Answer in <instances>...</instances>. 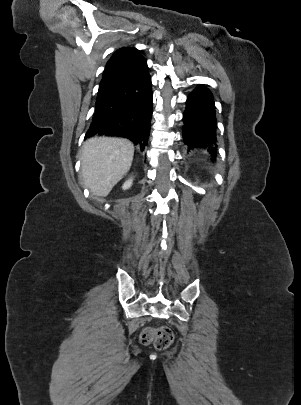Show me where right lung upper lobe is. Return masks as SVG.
<instances>
[{"instance_id": "cb5924a9", "label": "right lung upper lobe", "mask_w": 301, "mask_h": 405, "mask_svg": "<svg viewBox=\"0 0 301 405\" xmlns=\"http://www.w3.org/2000/svg\"><path fill=\"white\" fill-rule=\"evenodd\" d=\"M144 57L134 47H123L106 64L98 95L120 82Z\"/></svg>"}]
</instances>
